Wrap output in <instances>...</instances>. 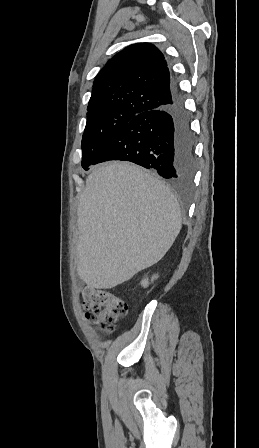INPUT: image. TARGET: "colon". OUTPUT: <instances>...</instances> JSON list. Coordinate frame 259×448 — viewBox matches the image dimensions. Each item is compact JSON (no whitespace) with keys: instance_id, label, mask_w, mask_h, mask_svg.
<instances>
[{"instance_id":"5ec220e1","label":"colon","mask_w":259,"mask_h":448,"mask_svg":"<svg viewBox=\"0 0 259 448\" xmlns=\"http://www.w3.org/2000/svg\"><path fill=\"white\" fill-rule=\"evenodd\" d=\"M81 296L87 318L105 332L114 331L116 321L128 312L125 301L108 290L86 287Z\"/></svg>"}]
</instances>
